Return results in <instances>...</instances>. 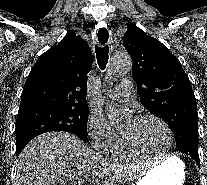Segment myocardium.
<instances>
[{"instance_id":"myocardium-1","label":"myocardium","mask_w":207,"mask_h":185,"mask_svg":"<svg viewBox=\"0 0 207 185\" xmlns=\"http://www.w3.org/2000/svg\"><path fill=\"white\" fill-rule=\"evenodd\" d=\"M134 120H138V121L155 120V121L159 122L166 132L167 139H168V145H167V148L165 149V151L162 153H158V154L147 153L145 151H141V150H138L137 148H135V146L132 144L130 138L125 133H122L123 144H124L126 150L130 154L137 156V157H143V158H149V159H161V158H165L171 154L172 148L174 146V136H173V132H172L170 126L163 118H161L157 115H153V114H146V115H140V116L136 117Z\"/></svg>"}]
</instances>
